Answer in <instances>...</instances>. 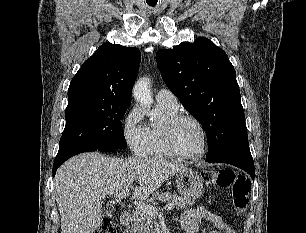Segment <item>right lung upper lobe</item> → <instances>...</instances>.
Here are the masks:
<instances>
[{"mask_svg":"<svg viewBox=\"0 0 306 233\" xmlns=\"http://www.w3.org/2000/svg\"><path fill=\"white\" fill-rule=\"evenodd\" d=\"M140 61L137 48L109 42L101 45L73 77L68 104L80 100L130 104Z\"/></svg>","mask_w":306,"mask_h":233,"instance_id":"right-lung-upper-lobe-1","label":"right lung upper lobe"}]
</instances>
